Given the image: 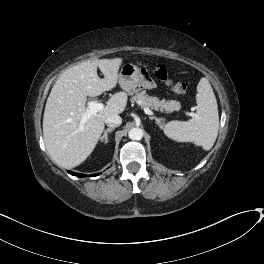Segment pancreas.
<instances>
[{
    "label": "pancreas",
    "instance_id": "cf45deb5",
    "mask_svg": "<svg viewBox=\"0 0 264 264\" xmlns=\"http://www.w3.org/2000/svg\"><path fill=\"white\" fill-rule=\"evenodd\" d=\"M132 103L139 104L142 108L172 112L180 109V102L175 100H160L158 97L149 96L142 91L131 98Z\"/></svg>",
    "mask_w": 264,
    "mask_h": 264
}]
</instances>
